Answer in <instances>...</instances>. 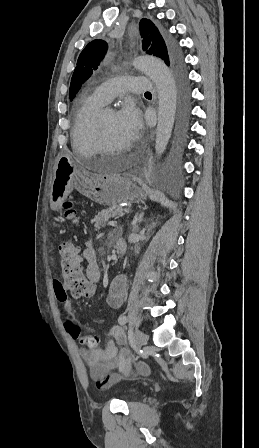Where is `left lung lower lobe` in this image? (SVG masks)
I'll use <instances>...</instances> for the list:
<instances>
[{
    "label": "left lung lower lobe",
    "mask_w": 259,
    "mask_h": 448,
    "mask_svg": "<svg viewBox=\"0 0 259 448\" xmlns=\"http://www.w3.org/2000/svg\"><path fill=\"white\" fill-rule=\"evenodd\" d=\"M175 56L171 63L175 79L178 96V116L176 124L175 139L173 145L172 159L167 173L171 178L180 168L181 158L186 151L187 135L190 132L191 118V88L188 78V72L183 56L173 44Z\"/></svg>",
    "instance_id": "obj_1"
}]
</instances>
